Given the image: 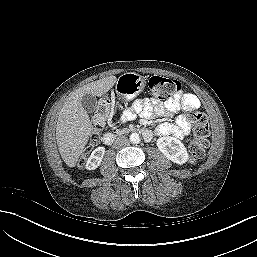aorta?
<instances>
[{
    "label": "aorta",
    "mask_w": 257,
    "mask_h": 257,
    "mask_svg": "<svg viewBox=\"0 0 257 257\" xmlns=\"http://www.w3.org/2000/svg\"><path fill=\"white\" fill-rule=\"evenodd\" d=\"M129 139L130 142L133 144H138L140 142V136L138 133H132Z\"/></svg>",
    "instance_id": "762f6f07"
}]
</instances>
